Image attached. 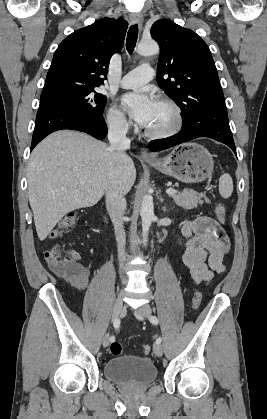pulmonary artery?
<instances>
[{
	"instance_id": "pulmonary-artery-1",
	"label": "pulmonary artery",
	"mask_w": 267,
	"mask_h": 419,
	"mask_svg": "<svg viewBox=\"0 0 267 419\" xmlns=\"http://www.w3.org/2000/svg\"><path fill=\"white\" fill-rule=\"evenodd\" d=\"M154 76V69L148 64H142L129 73L120 81L123 88H135L148 83Z\"/></svg>"
}]
</instances>
